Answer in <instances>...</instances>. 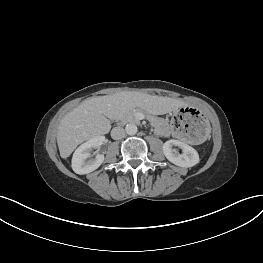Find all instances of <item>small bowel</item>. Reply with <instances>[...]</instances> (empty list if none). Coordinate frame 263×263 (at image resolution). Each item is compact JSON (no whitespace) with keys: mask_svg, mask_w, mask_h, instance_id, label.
Returning a JSON list of instances; mask_svg holds the SVG:
<instances>
[{"mask_svg":"<svg viewBox=\"0 0 263 263\" xmlns=\"http://www.w3.org/2000/svg\"><path fill=\"white\" fill-rule=\"evenodd\" d=\"M157 131L159 132V134L163 135V136H168L171 134L170 129L167 126H157Z\"/></svg>","mask_w":263,"mask_h":263,"instance_id":"c3829d8e","label":"small bowel"}]
</instances>
